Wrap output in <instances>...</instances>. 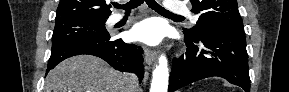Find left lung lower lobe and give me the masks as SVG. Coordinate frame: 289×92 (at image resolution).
<instances>
[{
    "label": "left lung lower lobe",
    "instance_id": "left-lung-lower-lobe-1",
    "mask_svg": "<svg viewBox=\"0 0 289 92\" xmlns=\"http://www.w3.org/2000/svg\"><path fill=\"white\" fill-rule=\"evenodd\" d=\"M186 53L172 63L169 90L182 88L205 77L220 76L250 92L248 55L243 32L212 28L198 39L185 37Z\"/></svg>",
    "mask_w": 289,
    "mask_h": 92
}]
</instances>
